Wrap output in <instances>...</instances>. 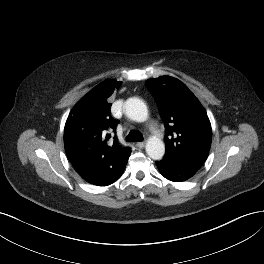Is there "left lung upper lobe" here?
<instances>
[{
    "label": "left lung upper lobe",
    "instance_id": "obj_1",
    "mask_svg": "<svg viewBox=\"0 0 264 264\" xmlns=\"http://www.w3.org/2000/svg\"><path fill=\"white\" fill-rule=\"evenodd\" d=\"M164 121L165 160L199 168L207 159L212 129L205 109L178 79L162 76L146 81Z\"/></svg>",
    "mask_w": 264,
    "mask_h": 264
}]
</instances>
